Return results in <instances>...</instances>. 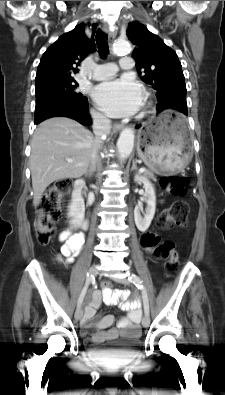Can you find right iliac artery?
<instances>
[{
	"label": "right iliac artery",
	"mask_w": 225,
	"mask_h": 395,
	"mask_svg": "<svg viewBox=\"0 0 225 395\" xmlns=\"http://www.w3.org/2000/svg\"><path fill=\"white\" fill-rule=\"evenodd\" d=\"M87 277H88V274H87ZM89 281H88V279L86 280V283H85V285H84V287H83V289H82V291H81V294H80V296H79V298H78V302H77V306L78 307H80L81 306V304H82V302H83V299H84V296H85V294H86V292H87V289H88V286H89Z\"/></svg>",
	"instance_id": "obj_1"
}]
</instances>
